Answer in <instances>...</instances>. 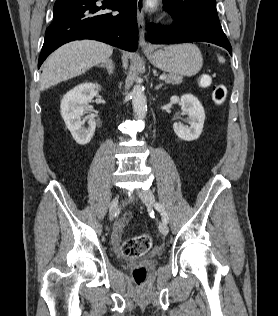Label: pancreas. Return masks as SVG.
<instances>
[{
  "label": "pancreas",
  "instance_id": "cf45deb5",
  "mask_svg": "<svg viewBox=\"0 0 278 316\" xmlns=\"http://www.w3.org/2000/svg\"><path fill=\"white\" fill-rule=\"evenodd\" d=\"M182 81H183V77L177 74H169L167 78L165 79V82L167 84H173V85L180 84L182 83Z\"/></svg>",
  "mask_w": 278,
  "mask_h": 316
}]
</instances>
